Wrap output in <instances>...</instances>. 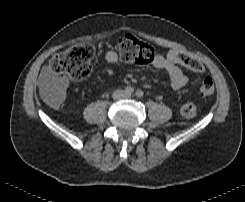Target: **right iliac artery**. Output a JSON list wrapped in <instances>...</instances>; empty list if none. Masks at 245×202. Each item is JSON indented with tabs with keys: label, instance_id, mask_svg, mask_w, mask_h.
<instances>
[{
	"label": "right iliac artery",
	"instance_id": "1",
	"mask_svg": "<svg viewBox=\"0 0 245 202\" xmlns=\"http://www.w3.org/2000/svg\"><path fill=\"white\" fill-rule=\"evenodd\" d=\"M125 92L126 94L131 95L134 92V89L131 86H127Z\"/></svg>",
	"mask_w": 245,
	"mask_h": 202
}]
</instances>
